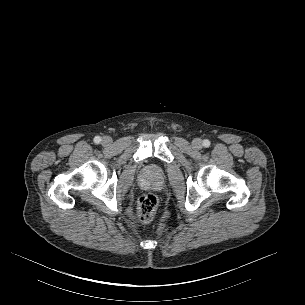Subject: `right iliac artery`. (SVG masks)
Instances as JSON below:
<instances>
[{"instance_id":"obj_1","label":"right iliac artery","mask_w":305,"mask_h":305,"mask_svg":"<svg viewBox=\"0 0 305 305\" xmlns=\"http://www.w3.org/2000/svg\"><path fill=\"white\" fill-rule=\"evenodd\" d=\"M94 142H95L96 144L100 143V142H101V138H100L99 136H96V137L94 138Z\"/></svg>"}]
</instances>
